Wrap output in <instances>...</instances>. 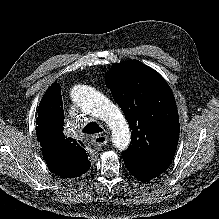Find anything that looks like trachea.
I'll return each instance as SVG.
<instances>
[{
	"instance_id": "3493384b",
	"label": "trachea",
	"mask_w": 219,
	"mask_h": 219,
	"mask_svg": "<svg viewBox=\"0 0 219 219\" xmlns=\"http://www.w3.org/2000/svg\"><path fill=\"white\" fill-rule=\"evenodd\" d=\"M102 131L103 129L96 122L88 123L83 129V132L86 134H96L101 133Z\"/></svg>"
}]
</instances>
